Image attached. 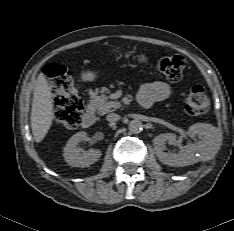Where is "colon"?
<instances>
[{"instance_id": "obj_1", "label": "colon", "mask_w": 234, "mask_h": 231, "mask_svg": "<svg viewBox=\"0 0 234 231\" xmlns=\"http://www.w3.org/2000/svg\"><path fill=\"white\" fill-rule=\"evenodd\" d=\"M120 58L142 60L139 55L120 54ZM158 69L170 81H179L186 66L184 57L171 55L159 60ZM44 73L49 79L52 92L56 97L54 110L55 121L71 130L77 128L82 120L83 104L71 80L70 73L59 63H50L44 68ZM185 110L190 115H201L208 111L209 100L201 86L191 88L186 101Z\"/></svg>"}]
</instances>
